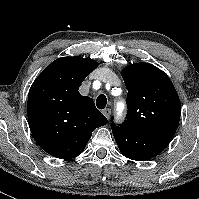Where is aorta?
I'll list each match as a JSON object with an SVG mask.
<instances>
[{"instance_id":"aorta-1","label":"aorta","mask_w":199,"mask_h":199,"mask_svg":"<svg viewBox=\"0 0 199 199\" xmlns=\"http://www.w3.org/2000/svg\"><path fill=\"white\" fill-rule=\"evenodd\" d=\"M124 109V103H119L118 106H117V110H118V114L120 115L121 112L123 111Z\"/></svg>"}]
</instances>
